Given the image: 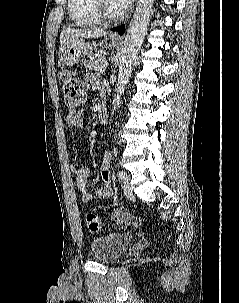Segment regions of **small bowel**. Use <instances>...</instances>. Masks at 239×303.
<instances>
[{"label": "small bowel", "mask_w": 239, "mask_h": 303, "mask_svg": "<svg viewBox=\"0 0 239 303\" xmlns=\"http://www.w3.org/2000/svg\"><path fill=\"white\" fill-rule=\"evenodd\" d=\"M85 82L88 88L97 89L100 87V81L93 75H87ZM84 120L83 114L81 112L74 115L68 116L66 118V125L69 128H78L82 125ZM110 152L106 151L104 159L100 165L101 180L93 187L88 186L89 169L87 167L73 166L72 173L75 177L76 186L81 191V200L84 203L90 202L93 198L104 199L108 198L112 194L111 176H110ZM116 216L119 219L132 218L135 222L123 223L122 228L127 225L137 226L141 223V220L137 217H128L122 211H117ZM116 224V221H115Z\"/></svg>", "instance_id": "1"}]
</instances>
